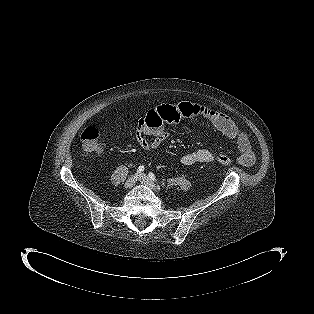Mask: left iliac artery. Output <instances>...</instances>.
Instances as JSON below:
<instances>
[{"label":"left iliac artery","instance_id":"44dca946","mask_svg":"<svg viewBox=\"0 0 314 314\" xmlns=\"http://www.w3.org/2000/svg\"><path fill=\"white\" fill-rule=\"evenodd\" d=\"M148 176H149V178H150L151 180L157 181L155 175H154L152 172H150V173L148 174Z\"/></svg>","mask_w":314,"mask_h":314}]
</instances>
